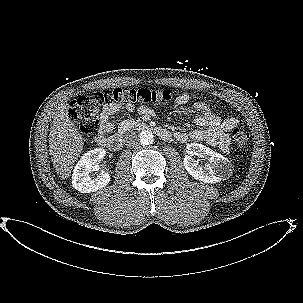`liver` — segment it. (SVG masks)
I'll return each mask as SVG.
<instances>
[{
	"label": "liver",
	"mask_w": 303,
	"mask_h": 303,
	"mask_svg": "<svg viewBox=\"0 0 303 303\" xmlns=\"http://www.w3.org/2000/svg\"><path fill=\"white\" fill-rule=\"evenodd\" d=\"M67 101L56 109L49 134V151L58 176L67 179L83 149V138L70 120Z\"/></svg>",
	"instance_id": "6515ba94"
}]
</instances>
